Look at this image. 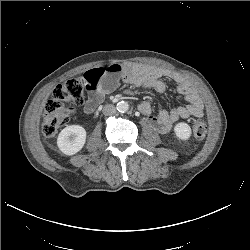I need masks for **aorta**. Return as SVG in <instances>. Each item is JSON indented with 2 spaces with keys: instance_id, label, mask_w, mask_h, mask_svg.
<instances>
[{
  "instance_id": "1",
  "label": "aorta",
  "mask_w": 250,
  "mask_h": 250,
  "mask_svg": "<svg viewBox=\"0 0 250 250\" xmlns=\"http://www.w3.org/2000/svg\"><path fill=\"white\" fill-rule=\"evenodd\" d=\"M128 109H129V104H128L127 102H125V101H120V102L117 103V110H118L119 112L124 113V112H127Z\"/></svg>"
}]
</instances>
